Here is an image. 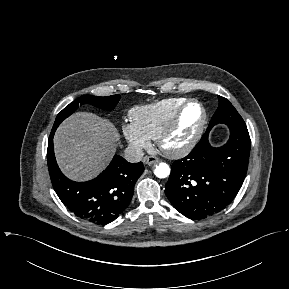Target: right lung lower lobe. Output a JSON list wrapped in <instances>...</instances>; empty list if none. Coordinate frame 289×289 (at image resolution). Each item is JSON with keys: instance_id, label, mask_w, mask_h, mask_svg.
I'll use <instances>...</instances> for the list:
<instances>
[{"instance_id": "right-lung-lower-lobe-1", "label": "right lung lower lobe", "mask_w": 289, "mask_h": 289, "mask_svg": "<svg viewBox=\"0 0 289 289\" xmlns=\"http://www.w3.org/2000/svg\"><path fill=\"white\" fill-rule=\"evenodd\" d=\"M52 129L47 149L51 182L62 203L76 216L96 224L114 221L128 206L135 181L144 171L142 162L129 163L115 155L110 165L95 179L74 182L60 171L53 149Z\"/></svg>"}]
</instances>
